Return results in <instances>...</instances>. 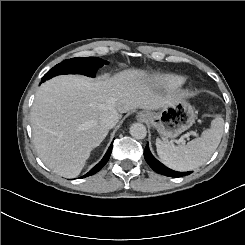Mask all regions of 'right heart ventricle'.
<instances>
[{
    "mask_svg": "<svg viewBox=\"0 0 245 245\" xmlns=\"http://www.w3.org/2000/svg\"><path fill=\"white\" fill-rule=\"evenodd\" d=\"M158 80L161 84L168 88H175L184 83L185 79L182 76L174 74L159 75Z\"/></svg>",
    "mask_w": 245,
    "mask_h": 245,
    "instance_id": "1",
    "label": "right heart ventricle"
}]
</instances>
